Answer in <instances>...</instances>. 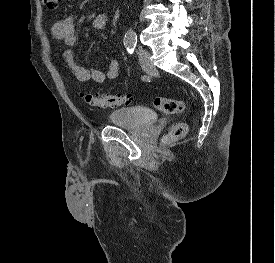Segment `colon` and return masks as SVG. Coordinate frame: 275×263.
<instances>
[{
    "label": "colon",
    "instance_id": "5ec220e1",
    "mask_svg": "<svg viewBox=\"0 0 275 263\" xmlns=\"http://www.w3.org/2000/svg\"><path fill=\"white\" fill-rule=\"evenodd\" d=\"M44 6L49 10H55L59 0H42ZM83 100L92 107L111 108L130 103L133 100L131 93H105L91 94L81 92ZM156 109L168 114H181L186 111L187 103L185 100L172 99L165 97H157L154 99ZM189 124L187 122H178L174 124L164 136V142L167 144L173 143L183 138L188 132Z\"/></svg>",
    "mask_w": 275,
    "mask_h": 263
}]
</instances>
